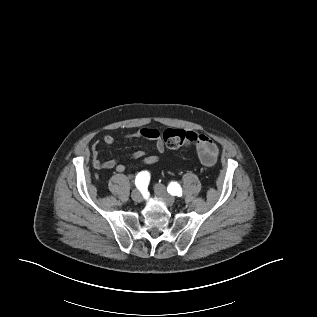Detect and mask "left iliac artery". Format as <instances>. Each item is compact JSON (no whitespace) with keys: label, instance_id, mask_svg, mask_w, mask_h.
Wrapping results in <instances>:
<instances>
[{"label":"left iliac artery","instance_id":"obj_1","mask_svg":"<svg viewBox=\"0 0 317 317\" xmlns=\"http://www.w3.org/2000/svg\"><path fill=\"white\" fill-rule=\"evenodd\" d=\"M167 191L171 195L182 196V188L180 187V185L177 182H171L168 185Z\"/></svg>","mask_w":317,"mask_h":317}]
</instances>
